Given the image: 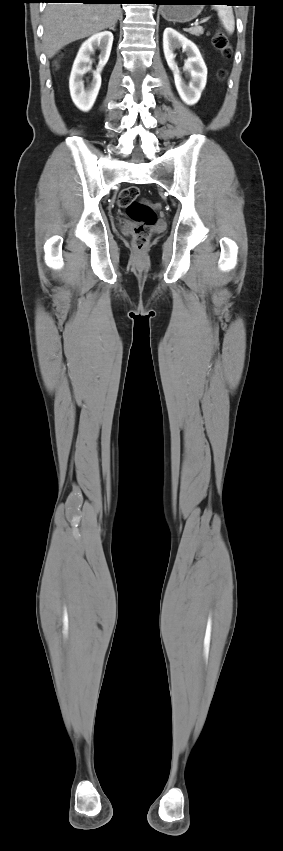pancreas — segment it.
Segmentation results:
<instances>
[{"label":"pancreas","instance_id":"cf45deb5","mask_svg":"<svg viewBox=\"0 0 283 851\" xmlns=\"http://www.w3.org/2000/svg\"><path fill=\"white\" fill-rule=\"evenodd\" d=\"M187 32H189L190 34L195 35V36H200L201 34H203L204 30H203L202 27L197 26V27H193V28L188 29Z\"/></svg>","mask_w":283,"mask_h":851}]
</instances>
